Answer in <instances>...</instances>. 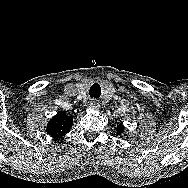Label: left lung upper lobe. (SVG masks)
<instances>
[{"mask_svg": "<svg viewBox=\"0 0 188 188\" xmlns=\"http://www.w3.org/2000/svg\"><path fill=\"white\" fill-rule=\"evenodd\" d=\"M124 132V126L122 124H119L117 126V133L118 135L122 134Z\"/></svg>", "mask_w": 188, "mask_h": 188, "instance_id": "5c2ea615", "label": "left lung upper lobe"}]
</instances>
